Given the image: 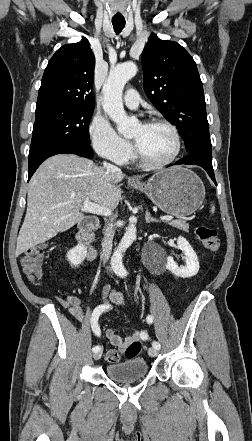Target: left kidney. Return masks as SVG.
<instances>
[{
    "instance_id": "1",
    "label": "left kidney",
    "mask_w": 252,
    "mask_h": 441,
    "mask_svg": "<svg viewBox=\"0 0 252 441\" xmlns=\"http://www.w3.org/2000/svg\"><path fill=\"white\" fill-rule=\"evenodd\" d=\"M177 246L183 251L185 257V266H178L174 259L169 256L167 258L166 267L169 271L181 278H190L195 276L199 271L198 257L189 242L182 236L177 239Z\"/></svg>"
}]
</instances>
